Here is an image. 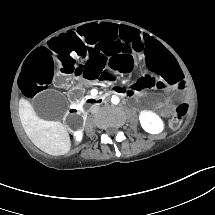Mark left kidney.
I'll return each instance as SVG.
<instances>
[{
	"label": "left kidney",
	"instance_id": "left-kidney-1",
	"mask_svg": "<svg viewBox=\"0 0 215 215\" xmlns=\"http://www.w3.org/2000/svg\"><path fill=\"white\" fill-rule=\"evenodd\" d=\"M139 120L142 128L150 134L161 133L164 128L161 118L152 112H141Z\"/></svg>",
	"mask_w": 215,
	"mask_h": 215
}]
</instances>
